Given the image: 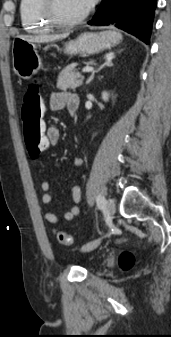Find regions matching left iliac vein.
Here are the masks:
<instances>
[{"mask_svg": "<svg viewBox=\"0 0 171 337\" xmlns=\"http://www.w3.org/2000/svg\"><path fill=\"white\" fill-rule=\"evenodd\" d=\"M105 208H106V211H107V214L112 217L115 213V203H114V200L113 199H108L105 203ZM99 243V240H95V241H92V242H89L88 244H86L84 247H83V250L84 251H90L92 249H94Z\"/></svg>", "mask_w": 171, "mask_h": 337, "instance_id": "1", "label": "left iliac vein"}]
</instances>
